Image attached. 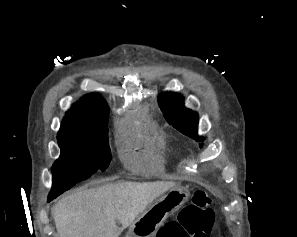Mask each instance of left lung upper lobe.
I'll return each mask as SVG.
<instances>
[{"mask_svg": "<svg viewBox=\"0 0 297 237\" xmlns=\"http://www.w3.org/2000/svg\"><path fill=\"white\" fill-rule=\"evenodd\" d=\"M165 119L174 128L196 141H202L197 134L198 114L183 106V97L177 93H163L158 97Z\"/></svg>", "mask_w": 297, "mask_h": 237, "instance_id": "5c2ea615", "label": "left lung upper lobe"}]
</instances>
